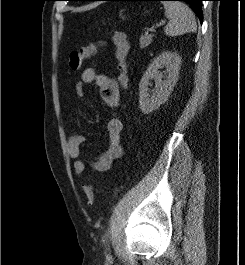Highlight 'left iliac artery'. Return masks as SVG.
<instances>
[{"mask_svg": "<svg viewBox=\"0 0 245 265\" xmlns=\"http://www.w3.org/2000/svg\"><path fill=\"white\" fill-rule=\"evenodd\" d=\"M106 236H107V234H105V236H104V237H105V239H103V242H105V240H106Z\"/></svg>", "mask_w": 245, "mask_h": 265, "instance_id": "44dca946", "label": "left iliac artery"}]
</instances>
